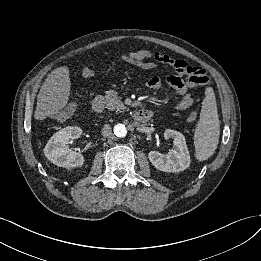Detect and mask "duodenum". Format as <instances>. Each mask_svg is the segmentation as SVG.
<instances>
[{
    "instance_id": "duodenum-1",
    "label": "duodenum",
    "mask_w": 261,
    "mask_h": 261,
    "mask_svg": "<svg viewBox=\"0 0 261 261\" xmlns=\"http://www.w3.org/2000/svg\"><path fill=\"white\" fill-rule=\"evenodd\" d=\"M103 106H104L103 99L101 97H96L92 101L91 108L93 112L99 113L103 109ZM151 116H152V112L150 110L140 109L134 113V121L136 124L140 125L146 123Z\"/></svg>"
}]
</instances>
